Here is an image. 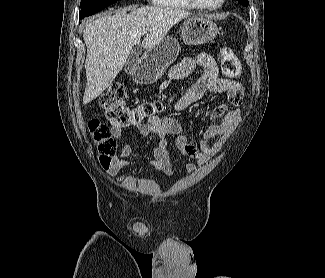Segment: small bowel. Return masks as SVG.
Masks as SVG:
<instances>
[{
	"label": "small bowel",
	"mask_w": 325,
	"mask_h": 278,
	"mask_svg": "<svg viewBox=\"0 0 325 278\" xmlns=\"http://www.w3.org/2000/svg\"><path fill=\"white\" fill-rule=\"evenodd\" d=\"M197 66L203 69V74L170 106L172 111L182 112L186 110L207 92L227 94V102L211 111L209 115L211 123L205 130L199 146L188 141L180 124L172 117L152 116L146 123L132 125L126 130V133H137L142 136L155 134L158 136L159 142L153 148L152 156L144 161L169 177L174 175L168 155V138L170 136L175 137L176 147L186 157V170L193 173L196 171L197 163L205 162L223 146L241 119L239 106L244 95V86L238 80L219 77L217 63L211 55L201 53L196 57L184 58L171 68L168 80L185 78L193 73ZM111 132L116 138H121L124 134L123 128L114 125ZM215 138H219V140L210 144V141ZM132 154L133 147L131 145L122 146L113 157L108 174L114 176L125 166L137 162L136 159H131Z\"/></svg>",
	"instance_id": "obj_1"
}]
</instances>
